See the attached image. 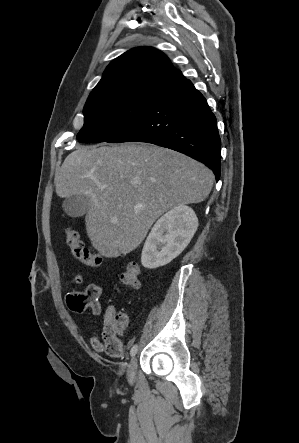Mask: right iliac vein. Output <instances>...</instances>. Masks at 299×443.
Instances as JSON below:
<instances>
[{
  "mask_svg": "<svg viewBox=\"0 0 299 443\" xmlns=\"http://www.w3.org/2000/svg\"><path fill=\"white\" fill-rule=\"evenodd\" d=\"M136 370H137V359L136 357H133L130 360L128 369H127V379L130 384H133L136 376Z\"/></svg>",
  "mask_w": 299,
  "mask_h": 443,
  "instance_id": "63e3f726",
  "label": "right iliac vein"
}]
</instances>
